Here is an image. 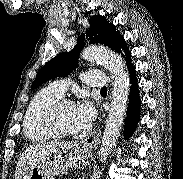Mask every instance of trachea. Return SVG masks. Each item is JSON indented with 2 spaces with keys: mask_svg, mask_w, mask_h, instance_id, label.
I'll return each mask as SVG.
<instances>
[{
  "mask_svg": "<svg viewBox=\"0 0 183 179\" xmlns=\"http://www.w3.org/2000/svg\"><path fill=\"white\" fill-rule=\"evenodd\" d=\"M101 91H107V88H106V87H103V88L101 89Z\"/></svg>",
  "mask_w": 183,
  "mask_h": 179,
  "instance_id": "trachea-1",
  "label": "trachea"
}]
</instances>
